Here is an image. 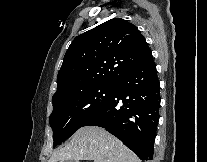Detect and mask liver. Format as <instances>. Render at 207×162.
<instances>
[{"instance_id": "obj_1", "label": "liver", "mask_w": 207, "mask_h": 162, "mask_svg": "<svg viewBox=\"0 0 207 162\" xmlns=\"http://www.w3.org/2000/svg\"><path fill=\"white\" fill-rule=\"evenodd\" d=\"M141 162L120 140L98 126H86L74 133L70 141L55 151L48 162Z\"/></svg>"}]
</instances>
